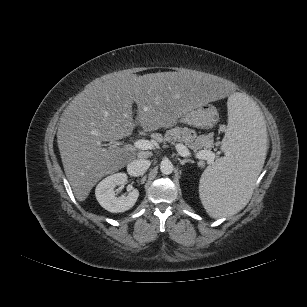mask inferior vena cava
<instances>
[{
  "instance_id": "602c4592",
  "label": "inferior vena cava",
  "mask_w": 307,
  "mask_h": 307,
  "mask_svg": "<svg viewBox=\"0 0 307 307\" xmlns=\"http://www.w3.org/2000/svg\"><path fill=\"white\" fill-rule=\"evenodd\" d=\"M150 166V161L145 159L133 160L127 165V172L131 176L143 175Z\"/></svg>"
}]
</instances>
